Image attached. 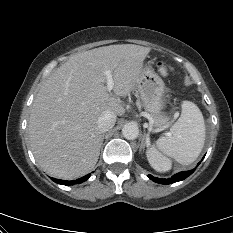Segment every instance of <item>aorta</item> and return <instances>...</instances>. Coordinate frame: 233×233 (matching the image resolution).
Masks as SVG:
<instances>
[{"instance_id": "1", "label": "aorta", "mask_w": 233, "mask_h": 233, "mask_svg": "<svg viewBox=\"0 0 233 233\" xmlns=\"http://www.w3.org/2000/svg\"><path fill=\"white\" fill-rule=\"evenodd\" d=\"M123 136L128 140H134L139 135V128L135 123L125 124L122 128Z\"/></svg>"}]
</instances>
